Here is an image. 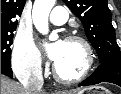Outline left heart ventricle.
I'll return each instance as SVG.
<instances>
[{"mask_svg":"<svg viewBox=\"0 0 121 94\" xmlns=\"http://www.w3.org/2000/svg\"><path fill=\"white\" fill-rule=\"evenodd\" d=\"M85 63L83 47L75 42H64L62 52L55 62L59 73L64 77L79 74Z\"/></svg>","mask_w":121,"mask_h":94,"instance_id":"b2bd125f","label":"left heart ventricle"}]
</instances>
